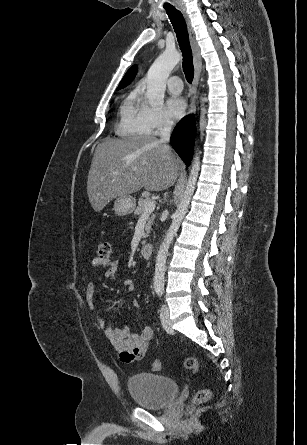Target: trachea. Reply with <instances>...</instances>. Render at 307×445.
<instances>
[{
  "instance_id": "3493384b",
  "label": "trachea",
  "mask_w": 307,
  "mask_h": 445,
  "mask_svg": "<svg viewBox=\"0 0 307 445\" xmlns=\"http://www.w3.org/2000/svg\"><path fill=\"white\" fill-rule=\"evenodd\" d=\"M165 10L176 32L179 46L183 55V71L185 73L186 80L189 83H192L194 77V69L185 20L182 16V13H180V11H178L175 7H165Z\"/></svg>"
}]
</instances>
